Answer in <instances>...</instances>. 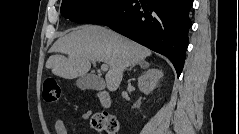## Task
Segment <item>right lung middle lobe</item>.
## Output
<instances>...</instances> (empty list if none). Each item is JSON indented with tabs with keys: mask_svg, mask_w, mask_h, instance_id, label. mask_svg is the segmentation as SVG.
<instances>
[{
	"mask_svg": "<svg viewBox=\"0 0 239 134\" xmlns=\"http://www.w3.org/2000/svg\"><path fill=\"white\" fill-rule=\"evenodd\" d=\"M119 2L120 0H62L60 12L73 22L87 23Z\"/></svg>",
	"mask_w": 239,
	"mask_h": 134,
	"instance_id": "right-lung-middle-lobe-1",
	"label": "right lung middle lobe"
}]
</instances>
